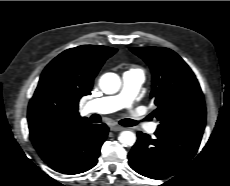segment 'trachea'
Segmentation results:
<instances>
[{"label": "trachea", "mask_w": 230, "mask_h": 186, "mask_svg": "<svg viewBox=\"0 0 230 186\" xmlns=\"http://www.w3.org/2000/svg\"><path fill=\"white\" fill-rule=\"evenodd\" d=\"M100 118L98 116H93L92 117V122L93 123H99ZM120 125L131 127L137 125V121H134L132 119H122L119 121Z\"/></svg>", "instance_id": "1"}]
</instances>
